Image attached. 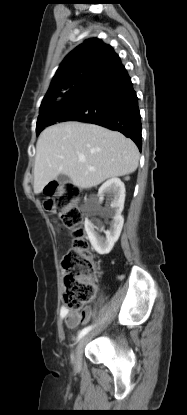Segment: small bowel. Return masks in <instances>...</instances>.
Segmentation results:
<instances>
[{"mask_svg":"<svg viewBox=\"0 0 187 415\" xmlns=\"http://www.w3.org/2000/svg\"><path fill=\"white\" fill-rule=\"evenodd\" d=\"M60 314L65 321L66 327L69 329H74L80 324L89 322L91 317V309L89 307H85L80 311H72L66 307H62Z\"/></svg>","mask_w":187,"mask_h":415,"instance_id":"c3829d8e","label":"small bowel"}]
</instances>
